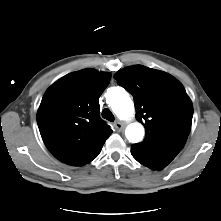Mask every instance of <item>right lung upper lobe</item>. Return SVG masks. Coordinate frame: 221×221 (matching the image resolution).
<instances>
[{
	"instance_id": "obj_1",
	"label": "right lung upper lobe",
	"mask_w": 221,
	"mask_h": 221,
	"mask_svg": "<svg viewBox=\"0 0 221 221\" xmlns=\"http://www.w3.org/2000/svg\"><path fill=\"white\" fill-rule=\"evenodd\" d=\"M111 74L84 69L56 81L37 112L41 137L61 162L78 166L103 146L111 128L100 118L99 97Z\"/></svg>"
}]
</instances>
